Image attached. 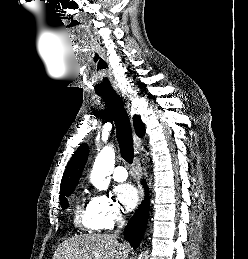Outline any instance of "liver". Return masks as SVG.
<instances>
[{
    "label": "liver",
    "mask_w": 248,
    "mask_h": 259,
    "mask_svg": "<svg viewBox=\"0 0 248 259\" xmlns=\"http://www.w3.org/2000/svg\"><path fill=\"white\" fill-rule=\"evenodd\" d=\"M127 243H119L116 235L84 234L65 240L53 259H127Z\"/></svg>",
    "instance_id": "obj_1"
}]
</instances>
